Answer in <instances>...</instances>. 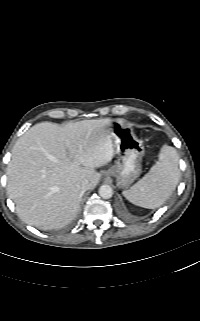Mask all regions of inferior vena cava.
<instances>
[{
    "label": "inferior vena cava",
    "mask_w": 200,
    "mask_h": 321,
    "mask_svg": "<svg viewBox=\"0 0 200 321\" xmlns=\"http://www.w3.org/2000/svg\"><path fill=\"white\" fill-rule=\"evenodd\" d=\"M76 186L81 192L84 193L85 191L88 190V180H86V179L81 180V181L77 182Z\"/></svg>",
    "instance_id": "602c4592"
}]
</instances>
